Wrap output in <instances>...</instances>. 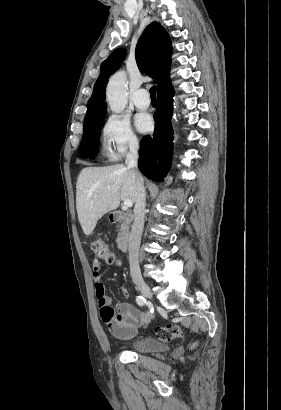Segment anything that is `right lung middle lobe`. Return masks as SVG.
<instances>
[{
  "label": "right lung middle lobe",
  "instance_id": "1",
  "mask_svg": "<svg viewBox=\"0 0 281 410\" xmlns=\"http://www.w3.org/2000/svg\"><path fill=\"white\" fill-rule=\"evenodd\" d=\"M104 116L84 123L81 152L85 158H92L96 154L101 130L104 125Z\"/></svg>",
  "mask_w": 281,
  "mask_h": 410
}]
</instances>
